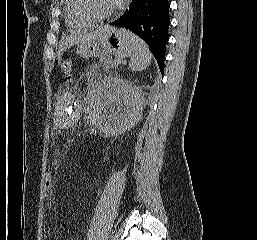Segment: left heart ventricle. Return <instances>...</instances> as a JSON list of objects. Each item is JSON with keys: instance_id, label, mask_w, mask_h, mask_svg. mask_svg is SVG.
<instances>
[{"instance_id": "obj_1", "label": "left heart ventricle", "mask_w": 257, "mask_h": 240, "mask_svg": "<svg viewBox=\"0 0 257 240\" xmlns=\"http://www.w3.org/2000/svg\"><path fill=\"white\" fill-rule=\"evenodd\" d=\"M93 11L99 15L111 12L114 8L111 0H90Z\"/></svg>"}]
</instances>
